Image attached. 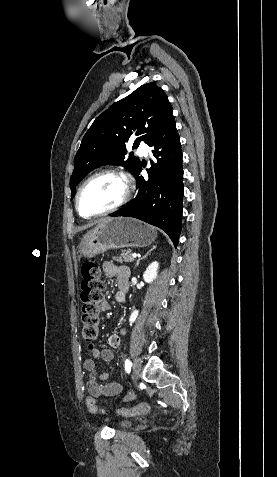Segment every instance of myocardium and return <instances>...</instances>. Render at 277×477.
I'll list each match as a JSON object with an SVG mask.
<instances>
[{
	"instance_id": "obj_1",
	"label": "myocardium",
	"mask_w": 277,
	"mask_h": 477,
	"mask_svg": "<svg viewBox=\"0 0 277 477\" xmlns=\"http://www.w3.org/2000/svg\"><path fill=\"white\" fill-rule=\"evenodd\" d=\"M103 175H112V176H116L119 179H121L123 184H124V193H123L121 199L115 205H113L112 207H110L106 210H103L101 212H98V213L85 214V213L82 212L81 207H80V198H81L82 192H83L84 188L92 180H94L95 178H97L99 176H103ZM130 196H131V183H130L129 179L127 178V176L123 172H121L120 170L111 169V168L110 169H102L100 171L95 172L91 176H89L81 184V186L79 187V189L77 191V194H76L75 205H76V209H77L79 215L84 217V218L101 217V216L113 213V212L119 210L120 208H122L129 201Z\"/></svg>"
}]
</instances>
